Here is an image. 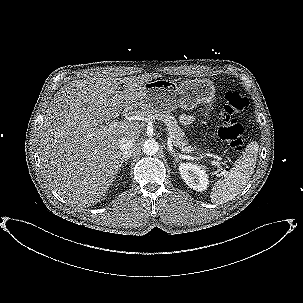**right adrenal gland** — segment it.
Wrapping results in <instances>:
<instances>
[{"mask_svg": "<svg viewBox=\"0 0 303 303\" xmlns=\"http://www.w3.org/2000/svg\"><path fill=\"white\" fill-rule=\"evenodd\" d=\"M131 157V154H129V155H127V156H123L122 158H121V163H120V165H119V167L121 168L122 166H123V163H125V165H127V161H128V159Z\"/></svg>", "mask_w": 303, "mask_h": 303, "instance_id": "1", "label": "right adrenal gland"}]
</instances>
